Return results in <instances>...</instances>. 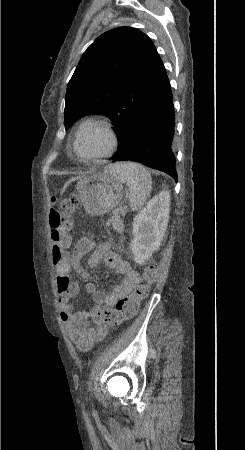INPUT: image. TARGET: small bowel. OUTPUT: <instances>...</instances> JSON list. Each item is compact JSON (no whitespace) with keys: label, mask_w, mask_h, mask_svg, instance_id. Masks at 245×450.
<instances>
[{"label":"small bowel","mask_w":245,"mask_h":450,"mask_svg":"<svg viewBox=\"0 0 245 450\" xmlns=\"http://www.w3.org/2000/svg\"><path fill=\"white\" fill-rule=\"evenodd\" d=\"M89 253L91 255L88 266L95 267L103 261L109 269L121 277V280L108 293L100 292L94 283L86 284L85 290L91 295L94 306L90 311H75L69 302L78 295L79 287L71 280L70 272L73 268L83 276H88L82 260ZM55 272L58 300L61 306L60 318L72 342L82 351H88L108 333L107 324L98 320L99 307L102 304L115 306L119 299L132 292L140 282V276L126 260L112 251L110 242L96 244L93 238L88 236L78 240L73 253L56 265Z\"/></svg>","instance_id":"1"}]
</instances>
